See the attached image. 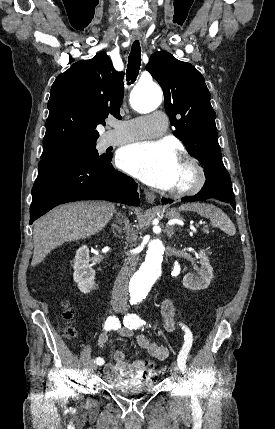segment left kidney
<instances>
[{
  "instance_id": "1",
  "label": "left kidney",
  "mask_w": 275,
  "mask_h": 429,
  "mask_svg": "<svg viewBox=\"0 0 275 429\" xmlns=\"http://www.w3.org/2000/svg\"><path fill=\"white\" fill-rule=\"evenodd\" d=\"M199 259L201 264L199 276L188 273L183 277V286L187 289L195 291L206 289L213 278V268L209 263L207 255L203 251L199 252Z\"/></svg>"
}]
</instances>
